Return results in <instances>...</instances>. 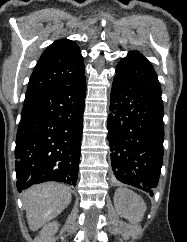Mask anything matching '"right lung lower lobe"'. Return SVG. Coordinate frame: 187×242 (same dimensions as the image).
<instances>
[{
	"mask_svg": "<svg viewBox=\"0 0 187 242\" xmlns=\"http://www.w3.org/2000/svg\"><path fill=\"white\" fill-rule=\"evenodd\" d=\"M85 96L82 76L69 85L25 97L15 147L19 192L45 181L76 185Z\"/></svg>",
	"mask_w": 187,
	"mask_h": 242,
	"instance_id": "right-lung-lower-lobe-1",
	"label": "right lung lower lobe"
}]
</instances>
